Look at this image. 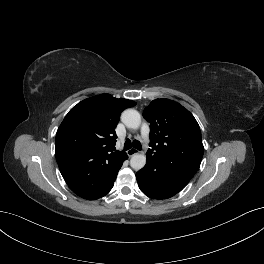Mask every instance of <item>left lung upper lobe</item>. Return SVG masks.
<instances>
[{
	"instance_id": "left-lung-upper-lobe-1",
	"label": "left lung upper lobe",
	"mask_w": 264,
	"mask_h": 264,
	"mask_svg": "<svg viewBox=\"0 0 264 264\" xmlns=\"http://www.w3.org/2000/svg\"><path fill=\"white\" fill-rule=\"evenodd\" d=\"M150 123L147 159L155 160L166 172H181L191 179L200 167L204 147L194 116L179 103L155 99L144 109Z\"/></svg>"
}]
</instances>
